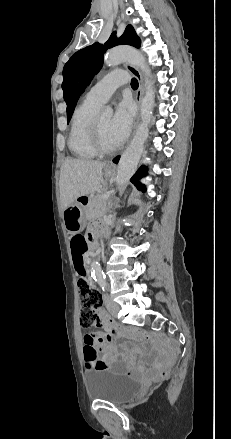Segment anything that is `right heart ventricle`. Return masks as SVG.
<instances>
[{"mask_svg": "<svg viewBox=\"0 0 231 439\" xmlns=\"http://www.w3.org/2000/svg\"><path fill=\"white\" fill-rule=\"evenodd\" d=\"M99 104L86 98L73 112L68 136V147L79 159H92L97 156L90 137L91 124Z\"/></svg>", "mask_w": 231, "mask_h": 439, "instance_id": "1", "label": "right heart ventricle"}]
</instances>
